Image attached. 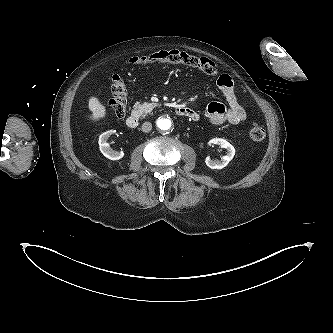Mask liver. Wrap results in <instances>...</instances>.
Instances as JSON below:
<instances>
[{"mask_svg":"<svg viewBox=\"0 0 333 333\" xmlns=\"http://www.w3.org/2000/svg\"><path fill=\"white\" fill-rule=\"evenodd\" d=\"M88 108L91 111V115L88 118L92 121H99L106 116V107L99 101L97 97H90L88 102Z\"/></svg>","mask_w":333,"mask_h":333,"instance_id":"obj_1","label":"liver"}]
</instances>
